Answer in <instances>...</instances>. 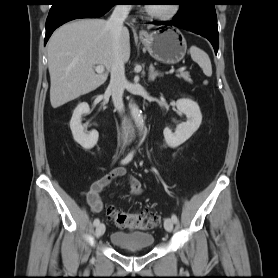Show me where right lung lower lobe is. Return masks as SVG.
I'll list each match as a JSON object with an SVG mask.
<instances>
[{
  "label": "right lung lower lobe",
  "mask_w": 278,
  "mask_h": 278,
  "mask_svg": "<svg viewBox=\"0 0 278 278\" xmlns=\"http://www.w3.org/2000/svg\"><path fill=\"white\" fill-rule=\"evenodd\" d=\"M118 0H57L46 20L45 44L53 31L62 24L79 18H97L108 12Z\"/></svg>",
  "instance_id": "obj_1"
}]
</instances>
